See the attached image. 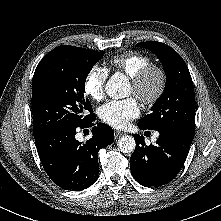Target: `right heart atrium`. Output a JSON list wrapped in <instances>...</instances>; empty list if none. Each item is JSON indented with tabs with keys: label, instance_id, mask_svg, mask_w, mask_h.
<instances>
[{
	"label": "right heart atrium",
	"instance_id": "obj_1",
	"mask_svg": "<svg viewBox=\"0 0 221 221\" xmlns=\"http://www.w3.org/2000/svg\"><path fill=\"white\" fill-rule=\"evenodd\" d=\"M109 71L107 68L94 65L87 73L84 80V92L94 101H99L104 97L105 83L108 78Z\"/></svg>",
	"mask_w": 221,
	"mask_h": 221
}]
</instances>
